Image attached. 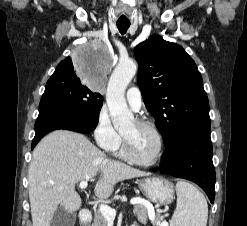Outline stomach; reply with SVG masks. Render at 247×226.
Returning a JSON list of instances; mask_svg holds the SVG:
<instances>
[{
    "label": "stomach",
    "instance_id": "obj_1",
    "mask_svg": "<svg viewBox=\"0 0 247 226\" xmlns=\"http://www.w3.org/2000/svg\"><path fill=\"white\" fill-rule=\"evenodd\" d=\"M147 199L158 204H170L174 199V186L161 177H149L138 181Z\"/></svg>",
    "mask_w": 247,
    "mask_h": 226
}]
</instances>
